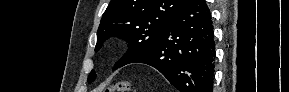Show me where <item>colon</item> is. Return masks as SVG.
Instances as JSON below:
<instances>
[{"instance_id":"1","label":"colon","mask_w":289,"mask_h":92,"mask_svg":"<svg viewBox=\"0 0 289 92\" xmlns=\"http://www.w3.org/2000/svg\"><path fill=\"white\" fill-rule=\"evenodd\" d=\"M113 91H126L130 92L132 91V85L128 81H120L116 84L110 86L107 88L104 92H113Z\"/></svg>"}]
</instances>
